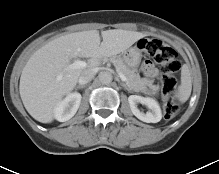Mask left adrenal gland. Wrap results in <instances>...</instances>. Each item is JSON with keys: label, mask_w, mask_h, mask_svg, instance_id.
Wrapping results in <instances>:
<instances>
[{"label": "left adrenal gland", "mask_w": 219, "mask_h": 174, "mask_svg": "<svg viewBox=\"0 0 219 174\" xmlns=\"http://www.w3.org/2000/svg\"><path fill=\"white\" fill-rule=\"evenodd\" d=\"M122 86H123L126 90H128L129 92H131V89L128 88L126 84L122 83Z\"/></svg>", "instance_id": "obj_1"}]
</instances>
